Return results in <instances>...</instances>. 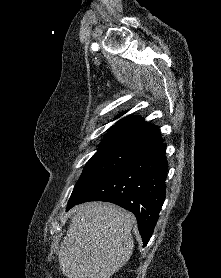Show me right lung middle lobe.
Wrapping results in <instances>:
<instances>
[{
    "label": "right lung middle lobe",
    "instance_id": "right-lung-middle-lobe-1",
    "mask_svg": "<svg viewBox=\"0 0 221 278\" xmlns=\"http://www.w3.org/2000/svg\"><path fill=\"white\" fill-rule=\"evenodd\" d=\"M135 148L114 141L102 142L97 152L86 163L68 202V208L75 204L99 180L129 161Z\"/></svg>",
    "mask_w": 221,
    "mask_h": 278
}]
</instances>
